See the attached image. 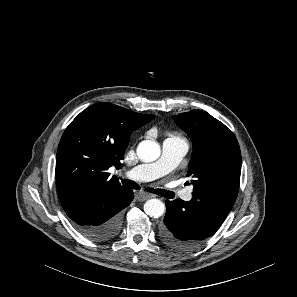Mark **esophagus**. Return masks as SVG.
<instances>
[{"label":"esophagus","mask_w":297,"mask_h":297,"mask_svg":"<svg viewBox=\"0 0 297 297\" xmlns=\"http://www.w3.org/2000/svg\"><path fill=\"white\" fill-rule=\"evenodd\" d=\"M152 197H153L152 194L145 193V192H142V191L137 192L136 195H135L136 200L140 201V202L145 201V200H147L149 198H152Z\"/></svg>","instance_id":"34e87169"}]
</instances>
